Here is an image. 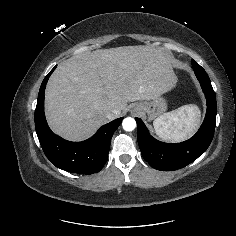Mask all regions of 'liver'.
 Returning a JSON list of instances; mask_svg holds the SVG:
<instances>
[{"mask_svg": "<svg viewBox=\"0 0 236 236\" xmlns=\"http://www.w3.org/2000/svg\"><path fill=\"white\" fill-rule=\"evenodd\" d=\"M176 83L171 59L162 49H98L58 65L45 91L46 119L54 133L82 141L111 120L107 113L115 110L117 118L128 102L153 100Z\"/></svg>", "mask_w": 236, "mask_h": 236, "instance_id": "1", "label": "liver"}]
</instances>
